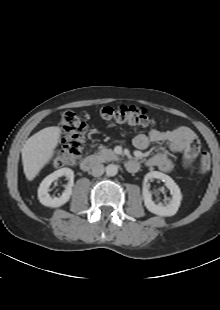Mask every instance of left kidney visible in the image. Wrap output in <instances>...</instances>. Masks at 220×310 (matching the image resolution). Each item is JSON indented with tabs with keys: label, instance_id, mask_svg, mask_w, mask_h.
<instances>
[{
	"label": "left kidney",
	"instance_id": "5707ae66",
	"mask_svg": "<svg viewBox=\"0 0 220 310\" xmlns=\"http://www.w3.org/2000/svg\"><path fill=\"white\" fill-rule=\"evenodd\" d=\"M153 178L160 179L161 181H163L166 187L170 190L172 199L170 200L169 204L165 206L161 204L156 205L152 201V195L148 189V180H151ZM142 193L146 208L151 213L164 217L175 215L176 212L178 211V208L182 200V195L178 185L174 182V180L170 176L159 171H152L145 175Z\"/></svg>",
	"mask_w": 220,
	"mask_h": 310
}]
</instances>
